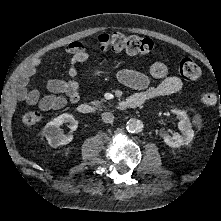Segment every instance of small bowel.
<instances>
[{"label":"small bowel","instance_id":"1","mask_svg":"<svg viewBox=\"0 0 221 221\" xmlns=\"http://www.w3.org/2000/svg\"><path fill=\"white\" fill-rule=\"evenodd\" d=\"M65 52L71 56L65 79H50L47 81L49 95L41 96L36 89H28L29 80L35 75L40 58L30 61L17 78L19 96L30 105H37L41 110H57L66 105V97L73 104L80 100L78 83V64L89 58L85 47L80 42H71L65 47ZM118 80L125 86L138 90L134 95H140L146 101L174 94L181 90L183 83L177 76L168 75L165 64L155 62L150 66L149 76L131 69H124L118 73ZM158 79L160 83L150 87V80Z\"/></svg>","mask_w":221,"mask_h":221}]
</instances>
